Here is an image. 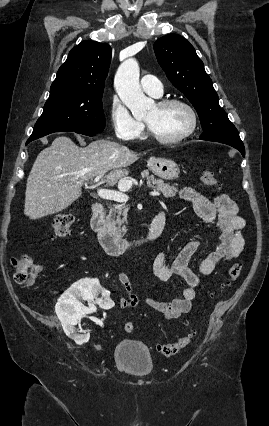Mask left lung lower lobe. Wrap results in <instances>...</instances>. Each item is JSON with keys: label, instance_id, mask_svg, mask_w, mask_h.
I'll list each match as a JSON object with an SVG mask.
<instances>
[{"label": "left lung lower lobe", "instance_id": "1", "mask_svg": "<svg viewBox=\"0 0 269 426\" xmlns=\"http://www.w3.org/2000/svg\"><path fill=\"white\" fill-rule=\"evenodd\" d=\"M199 139L200 140H207V141H215V142H220V143L230 145V146L236 148L237 150H239L241 152V154L243 156H245L244 144H243L242 140L240 139L239 134L219 136V137L210 138V139L200 136Z\"/></svg>", "mask_w": 269, "mask_h": 426}]
</instances>
